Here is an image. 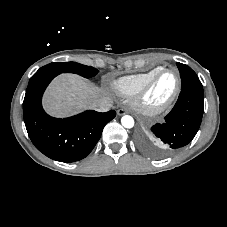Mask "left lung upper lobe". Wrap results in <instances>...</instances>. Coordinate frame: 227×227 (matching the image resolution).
I'll use <instances>...</instances> for the list:
<instances>
[{
	"mask_svg": "<svg viewBox=\"0 0 227 227\" xmlns=\"http://www.w3.org/2000/svg\"><path fill=\"white\" fill-rule=\"evenodd\" d=\"M177 67L180 71L182 86L181 89L190 87L200 91H203V86L196 75V73L187 65L177 63Z\"/></svg>",
	"mask_w": 227,
	"mask_h": 227,
	"instance_id": "obj_1",
	"label": "left lung upper lobe"
}]
</instances>
